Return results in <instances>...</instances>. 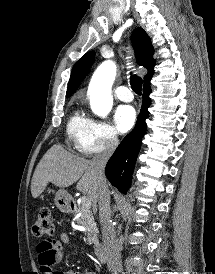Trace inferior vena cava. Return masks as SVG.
Listing matches in <instances>:
<instances>
[{
	"mask_svg": "<svg viewBox=\"0 0 215 274\" xmlns=\"http://www.w3.org/2000/svg\"><path fill=\"white\" fill-rule=\"evenodd\" d=\"M117 146V137L111 136L106 142L105 150L91 160L92 168L98 180L99 220L109 271H120L122 269L119 245L111 222L110 192L104 174L106 163Z\"/></svg>",
	"mask_w": 215,
	"mask_h": 274,
	"instance_id": "obj_1",
	"label": "inferior vena cava"
}]
</instances>
